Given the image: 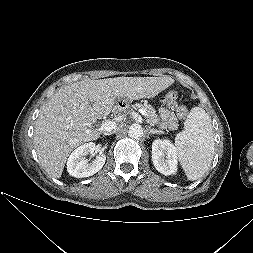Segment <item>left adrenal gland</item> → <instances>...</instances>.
Listing matches in <instances>:
<instances>
[{
	"instance_id": "obj_1",
	"label": "left adrenal gland",
	"mask_w": 253,
	"mask_h": 253,
	"mask_svg": "<svg viewBox=\"0 0 253 253\" xmlns=\"http://www.w3.org/2000/svg\"><path fill=\"white\" fill-rule=\"evenodd\" d=\"M149 134H162L163 132L160 130H156L151 128L150 126L147 128Z\"/></svg>"
}]
</instances>
